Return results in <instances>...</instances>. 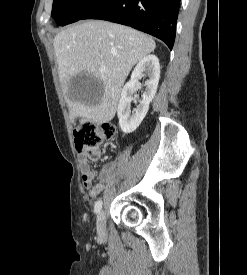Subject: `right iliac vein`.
Listing matches in <instances>:
<instances>
[{"mask_svg": "<svg viewBox=\"0 0 247 275\" xmlns=\"http://www.w3.org/2000/svg\"><path fill=\"white\" fill-rule=\"evenodd\" d=\"M97 232L100 237H104L106 235V222L103 211H101L97 216Z\"/></svg>", "mask_w": 247, "mask_h": 275, "instance_id": "1", "label": "right iliac vein"}]
</instances>
